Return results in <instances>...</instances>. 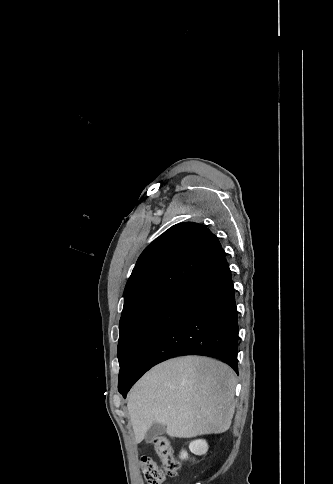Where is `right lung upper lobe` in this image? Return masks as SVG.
Masks as SVG:
<instances>
[{
  "instance_id": "1",
  "label": "right lung upper lobe",
  "mask_w": 333,
  "mask_h": 484,
  "mask_svg": "<svg viewBox=\"0 0 333 484\" xmlns=\"http://www.w3.org/2000/svg\"><path fill=\"white\" fill-rule=\"evenodd\" d=\"M225 256L217 237L202 224L179 223L142 252L127 281L122 315L163 292H173Z\"/></svg>"
}]
</instances>
